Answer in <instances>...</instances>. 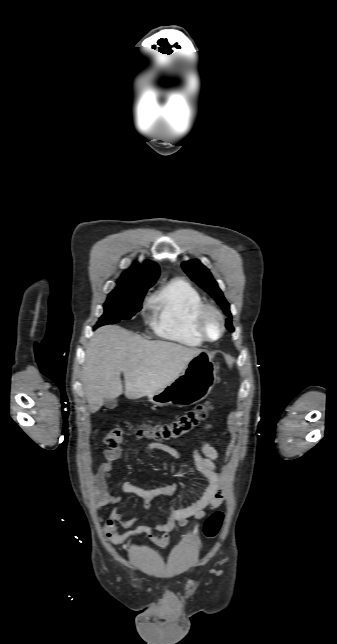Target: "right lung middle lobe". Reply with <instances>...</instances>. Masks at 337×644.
Wrapping results in <instances>:
<instances>
[{
  "instance_id": "dd1d6c3e",
  "label": "right lung middle lobe",
  "mask_w": 337,
  "mask_h": 644,
  "mask_svg": "<svg viewBox=\"0 0 337 644\" xmlns=\"http://www.w3.org/2000/svg\"><path fill=\"white\" fill-rule=\"evenodd\" d=\"M147 289L125 288L113 290L104 304V314L99 318L95 327L130 319L141 309Z\"/></svg>"
}]
</instances>
